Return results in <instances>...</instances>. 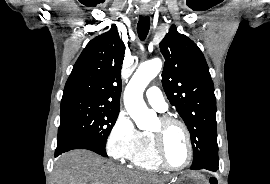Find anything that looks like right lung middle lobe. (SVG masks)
Returning <instances> with one entry per match:
<instances>
[{
  "label": "right lung middle lobe",
  "mask_w": 270,
  "mask_h": 184,
  "mask_svg": "<svg viewBox=\"0 0 270 184\" xmlns=\"http://www.w3.org/2000/svg\"><path fill=\"white\" fill-rule=\"evenodd\" d=\"M120 108L85 99L61 101L58 143L70 139L91 141L105 149Z\"/></svg>",
  "instance_id": "obj_1"
}]
</instances>
